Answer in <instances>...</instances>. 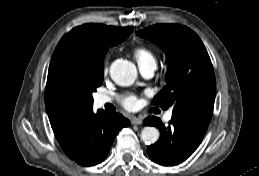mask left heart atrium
<instances>
[{"mask_svg":"<svg viewBox=\"0 0 259 176\" xmlns=\"http://www.w3.org/2000/svg\"><path fill=\"white\" fill-rule=\"evenodd\" d=\"M121 103L127 109H134L138 105V99L133 94H127L122 97Z\"/></svg>","mask_w":259,"mask_h":176,"instance_id":"39dd6f15","label":"left heart atrium"}]
</instances>
